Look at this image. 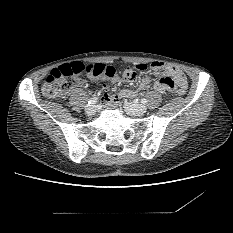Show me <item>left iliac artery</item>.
Returning <instances> with one entry per match:
<instances>
[{
	"label": "left iliac artery",
	"mask_w": 233,
	"mask_h": 233,
	"mask_svg": "<svg viewBox=\"0 0 233 233\" xmlns=\"http://www.w3.org/2000/svg\"><path fill=\"white\" fill-rule=\"evenodd\" d=\"M141 103L146 104L147 100L145 98L141 99Z\"/></svg>",
	"instance_id": "1"
}]
</instances>
